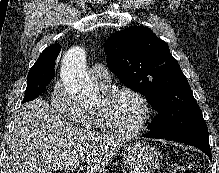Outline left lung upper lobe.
<instances>
[{"label": "left lung upper lobe", "instance_id": "5c2ea615", "mask_svg": "<svg viewBox=\"0 0 219 173\" xmlns=\"http://www.w3.org/2000/svg\"><path fill=\"white\" fill-rule=\"evenodd\" d=\"M107 65L127 87L159 112L147 134L157 137L206 133L207 125L187 78L166 42L134 26L113 33L104 44Z\"/></svg>", "mask_w": 219, "mask_h": 173}]
</instances>
